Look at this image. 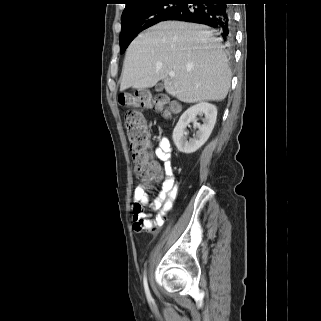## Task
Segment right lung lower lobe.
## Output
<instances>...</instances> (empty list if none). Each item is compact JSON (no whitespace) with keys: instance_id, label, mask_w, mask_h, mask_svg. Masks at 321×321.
<instances>
[{"instance_id":"right-lung-lower-lobe-1","label":"right lung lower lobe","mask_w":321,"mask_h":321,"mask_svg":"<svg viewBox=\"0 0 321 321\" xmlns=\"http://www.w3.org/2000/svg\"><path fill=\"white\" fill-rule=\"evenodd\" d=\"M233 0H183L182 4L166 15L165 20H179L211 26L220 32L224 41L233 40L232 10Z\"/></svg>"}]
</instances>
